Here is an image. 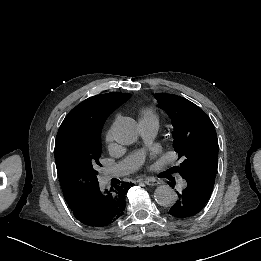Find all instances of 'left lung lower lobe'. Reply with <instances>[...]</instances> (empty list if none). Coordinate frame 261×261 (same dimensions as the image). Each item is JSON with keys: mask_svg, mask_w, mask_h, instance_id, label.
<instances>
[{"mask_svg": "<svg viewBox=\"0 0 261 261\" xmlns=\"http://www.w3.org/2000/svg\"><path fill=\"white\" fill-rule=\"evenodd\" d=\"M185 185L178 194V201L170 208L169 214L177 218H186L199 213L207 204L214 184L203 179L185 174Z\"/></svg>", "mask_w": 261, "mask_h": 261, "instance_id": "1", "label": "left lung lower lobe"}]
</instances>
